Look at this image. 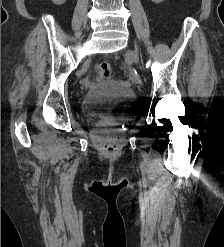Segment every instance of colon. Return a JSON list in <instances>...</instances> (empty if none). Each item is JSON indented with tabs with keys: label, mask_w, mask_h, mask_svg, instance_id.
I'll list each match as a JSON object with an SVG mask.
<instances>
[{
	"label": "colon",
	"mask_w": 224,
	"mask_h": 247,
	"mask_svg": "<svg viewBox=\"0 0 224 247\" xmlns=\"http://www.w3.org/2000/svg\"><path fill=\"white\" fill-rule=\"evenodd\" d=\"M112 72V67L108 62H102L99 64L96 73L97 80H105L110 77Z\"/></svg>",
	"instance_id": "colon-1"
}]
</instances>
